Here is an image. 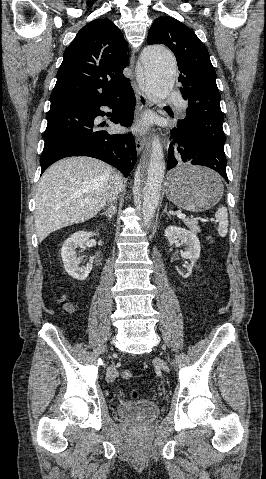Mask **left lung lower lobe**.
<instances>
[{"label":"left lung lower lobe","instance_id":"left-lung-lower-lobe-1","mask_svg":"<svg viewBox=\"0 0 266 479\" xmlns=\"http://www.w3.org/2000/svg\"><path fill=\"white\" fill-rule=\"evenodd\" d=\"M171 134L177 146L173 148L171 144L168 150V170L174 168L180 162L202 165L215 170L228 182L226 174V159H217L212 162H206L200 154V151L189 142L188 138L182 131L176 127L171 131Z\"/></svg>","mask_w":266,"mask_h":479}]
</instances>
